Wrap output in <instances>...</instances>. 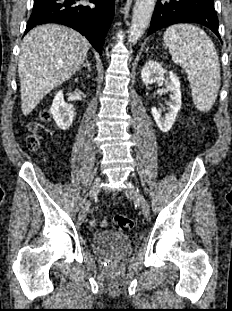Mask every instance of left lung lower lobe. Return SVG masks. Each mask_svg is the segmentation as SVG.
Listing matches in <instances>:
<instances>
[{
    "mask_svg": "<svg viewBox=\"0 0 232 311\" xmlns=\"http://www.w3.org/2000/svg\"><path fill=\"white\" fill-rule=\"evenodd\" d=\"M176 23H199L219 38L214 0H157L148 35Z\"/></svg>",
    "mask_w": 232,
    "mask_h": 311,
    "instance_id": "left-lung-lower-lobe-1",
    "label": "left lung lower lobe"
}]
</instances>
